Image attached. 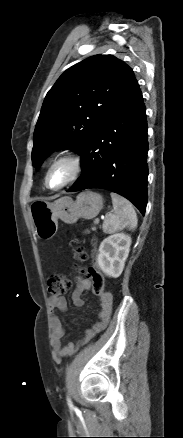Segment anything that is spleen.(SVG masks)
Here are the masks:
<instances>
[{
	"label": "spleen",
	"instance_id": "spleen-1",
	"mask_svg": "<svg viewBox=\"0 0 183 438\" xmlns=\"http://www.w3.org/2000/svg\"><path fill=\"white\" fill-rule=\"evenodd\" d=\"M113 213L106 215L103 223V231L111 234L126 227L134 230L137 227V215L132 204L122 196L111 193Z\"/></svg>",
	"mask_w": 183,
	"mask_h": 438
}]
</instances>
